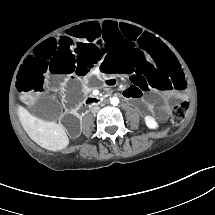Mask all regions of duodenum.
Returning a JSON list of instances; mask_svg holds the SVG:
<instances>
[{
    "instance_id": "1",
    "label": "duodenum",
    "mask_w": 215,
    "mask_h": 215,
    "mask_svg": "<svg viewBox=\"0 0 215 215\" xmlns=\"http://www.w3.org/2000/svg\"><path fill=\"white\" fill-rule=\"evenodd\" d=\"M105 96L98 95V96H90L86 99L84 106H92V105H100L104 102Z\"/></svg>"
}]
</instances>
